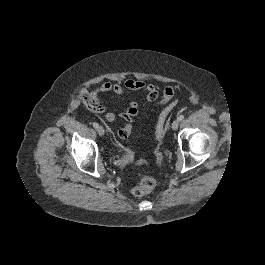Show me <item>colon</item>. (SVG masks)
Segmentation results:
<instances>
[{"label": "colon", "mask_w": 265, "mask_h": 265, "mask_svg": "<svg viewBox=\"0 0 265 265\" xmlns=\"http://www.w3.org/2000/svg\"><path fill=\"white\" fill-rule=\"evenodd\" d=\"M174 92L171 87H166L164 92H163V98L166 101L167 106L163 109V111L160 113L158 117V121L156 124V129H155V136L156 139L162 138L164 134V127H165V122L170 114V112L173 110V108L177 105L178 101H171L173 98ZM130 134V130L127 127H123L121 130H119L118 135L120 138H127ZM141 164H144L145 161H141ZM156 186V179L153 176L150 175H145L143 176L138 184L133 187L132 193L135 196H143L148 193H150Z\"/></svg>", "instance_id": "1"}]
</instances>
